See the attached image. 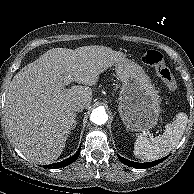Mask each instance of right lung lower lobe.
<instances>
[{
	"label": "right lung lower lobe",
	"instance_id": "98d812e1",
	"mask_svg": "<svg viewBox=\"0 0 194 194\" xmlns=\"http://www.w3.org/2000/svg\"><path fill=\"white\" fill-rule=\"evenodd\" d=\"M79 153H80V148L75 155L67 158L66 160H63L61 162L54 163V164H51L48 166H44V167L45 168H62V167L68 166L71 163H73L74 161H76V159L79 157Z\"/></svg>",
	"mask_w": 194,
	"mask_h": 194
}]
</instances>
